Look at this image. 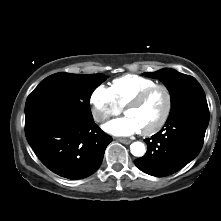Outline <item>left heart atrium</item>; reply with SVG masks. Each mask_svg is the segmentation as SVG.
Instances as JSON below:
<instances>
[{
  "mask_svg": "<svg viewBox=\"0 0 221 221\" xmlns=\"http://www.w3.org/2000/svg\"><path fill=\"white\" fill-rule=\"evenodd\" d=\"M104 130L116 136H128L140 131V128L132 118L126 116L108 122Z\"/></svg>",
  "mask_w": 221,
  "mask_h": 221,
  "instance_id": "1",
  "label": "left heart atrium"
}]
</instances>
